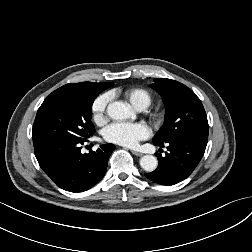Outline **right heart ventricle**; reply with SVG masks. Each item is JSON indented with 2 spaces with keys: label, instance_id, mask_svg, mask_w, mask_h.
Listing matches in <instances>:
<instances>
[{
  "label": "right heart ventricle",
  "instance_id": "1",
  "mask_svg": "<svg viewBox=\"0 0 252 252\" xmlns=\"http://www.w3.org/2000/svg\"><path fill=\"white\" fill-rule=\"evenodd\" d=\"M125 98L137 109H145L152 102L151 93L144 88H132L124 92Z\"/></svg>",
  "mask_w": 252,
  "mask_h": 252
}]
</instances>
